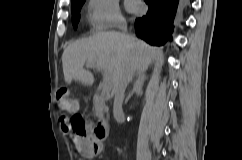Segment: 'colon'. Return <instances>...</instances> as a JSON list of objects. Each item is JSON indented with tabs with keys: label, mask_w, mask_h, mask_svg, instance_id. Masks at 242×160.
<instances>
[{
	"label": "colon",
	"mask_w": 242,
	"mask_h": 160,
	"mask_svg": "<svg viewBox=\"0 0 242 160\" xmlns=\"http://www.w3.org/2000/svg\"><path fill=\"white\" fill-rule=\"evenodd\" d=\"M57 106L62 112H73L70 116L64 117L62 123L66 125V130L75 137L85 135L87 129V121L85 118L75 112L74 104L70 95V91L66 87H60L57 91ZM88 156H96L100 152V143L92 141Z\"/></svg>",
	"instance_id": "1"
}]
</instances>
